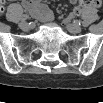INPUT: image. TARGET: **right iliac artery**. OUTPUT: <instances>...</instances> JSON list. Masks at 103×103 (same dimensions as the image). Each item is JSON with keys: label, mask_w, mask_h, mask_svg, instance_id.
Listing matches in <instances>:
<instances>
[{"label": "right iliac artery", "mask_w": 103, "mask_h": 103, "mask_svg": "<svg viewBox=\"0 0 103 103\" xmlns=\"http://www.w3.org/2000/svg\"><path fill=\"white\" fill-rule=\"evenodd\" d=\"M29 18V16L27 14H24L22 17H21V20H27Z\"/></svg>", "instance_id": "1"}]
</instances>
